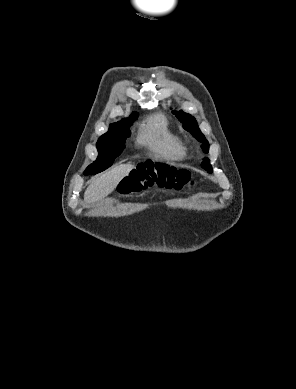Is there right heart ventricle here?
<instances>
[{
    "instance_id": "right-heart-ventricle-1",
    "label": "right heart ventricle",
    "mask_w": 296,
    "mask_h": 389,
    "mask_svg": "<svg viewBox=\"0 0 296 389\" xmlns=\"http://www.w3.org/2000/svg\"><path fill=\"white\" fill-rule=\"evenodd\" d=\"M137 141L154 156L166 160L178 161L185 157L184 145L169 126L167 120L155 115L140 128Z\"/></svg>"
}]
</instances>
